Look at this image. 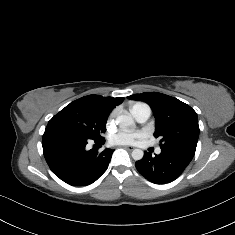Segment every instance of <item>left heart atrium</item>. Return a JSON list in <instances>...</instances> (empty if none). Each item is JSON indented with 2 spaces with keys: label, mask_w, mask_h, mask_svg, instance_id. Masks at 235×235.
<instances>
[{
  "label": "left heart atrium",
  "mask_w": 235,
  "mask_h": 235,
  "mask_svg": "<svg viewBox=\"0 0 235 235\" xmlns=\"http://www.w3.org/2000/svg\"><path fill=\"white\" fill-rule=\"evenodd\" d=\"M142 137L139 131L120 130L109 137V141L115 145H125L134 142L136 139Z\"/></svg>",
  "instance_id": "1"
}]
</instances>
